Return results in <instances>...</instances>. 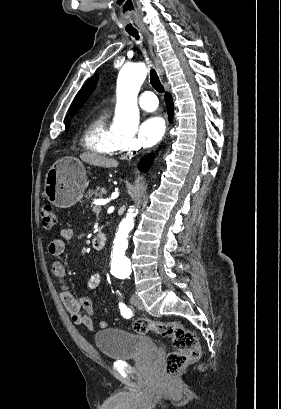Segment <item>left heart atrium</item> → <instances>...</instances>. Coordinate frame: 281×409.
Wrapping results in <instances>:
<instances>
[{
	"mask_svg": "<svg viewBox=\"0 0 281 409\" xmlns=\"http://www.w3.org/2000/svg\"><path fill=\"white\" fill-rule=\"evenodd\" d=\"M165 123L162 117L150 115L140 126L138 141L143 147L156 145L163 137Z\"/></svg>",
	"mask_w": 281,
	"mask_h": 409,
	"instance_id": "39dd6f15",
	"label": "left heart atrium"
}]
</instances>
